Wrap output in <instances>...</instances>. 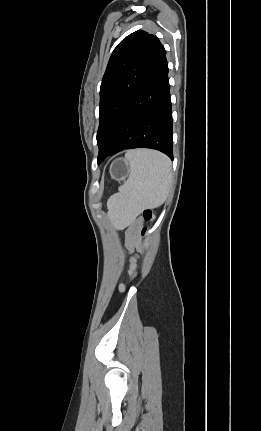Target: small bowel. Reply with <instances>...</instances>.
<instances>
[{
    "mask_svg": "<svg viewBox=\"0 0 261 431\" xmlns=\"http://www.w3.org/2000/svg\"><path fill=\"white\" fill-rule=\"evenodd\" d=\"M142 226V221L141 220H137L133 226L130 229V236L134 241H137L138 239V231Z\"/></svg>",
    "mask_w": 261,
    "mask_h": 431,
    "instance_id": "small-bowel-1",
    "label": "small bowel"
}]
</instances>
